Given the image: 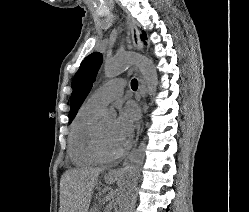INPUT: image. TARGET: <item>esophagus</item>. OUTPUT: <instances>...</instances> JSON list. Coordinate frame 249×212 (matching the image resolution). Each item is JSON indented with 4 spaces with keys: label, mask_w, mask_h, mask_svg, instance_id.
Segmentation results:
<instances>
[{
    "label": "esophagus",
    "mask_w": 249,
    "mask_h": 212,
    "mask_svg": "<svg viewBox=\"0 0 249 212\" xmlns=\"http://www.w3.org/2000/svg\"><path fill=\"white\" fill-rule=\"evenodd\" d=\"M125 18H126L127 24L129 25V28H130L132 43H133L135 49L138 50V51H142L143 50V43H142V41L140 39V34H139V31H138L136 22L133 19H131L130 17H125ZM139 134H140V124L138 125V130H137V135H136L134 148H135V146L137 144ZM129 156L123 161L121 166H119V167H117L115 169H111L110 173L112 175H121L122 167L126 164Z\"/></svg>",
    "instance_id": "obj_1"
}]
</instances>
